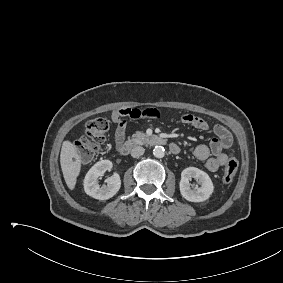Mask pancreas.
<instances>
[{
	"mask_svg": "<svg viewBox=\"0 0 283 283\" xmlns=\"http://www.w3.org/2000/svg\"><path fill=\"white\" fill-rule=\"evenodd\" d=\"M146 139H147V135L141 131L136 132L132 136V141L137 144L143 143Z\"/></svg>",
	"mask_w": 283,
	"mask_h": 283,
	"instance_id": "1",
	"label": "pancreas"
}]
</instances>
